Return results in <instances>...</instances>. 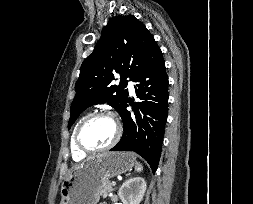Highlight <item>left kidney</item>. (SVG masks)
<instances>
[{"label": "left kidney", "instance_id": "obj_1", "mask_svg": "<svg viewBox=\"0 0 253 204\" xmlns=\"http://www.w3.org/2000/svg\"><path fill=\"white\" fill-rule=\"evenodd\" d=\"M146 187V181L142 177H133L122 184L118 195L123 204H140Z\"/></svg>", "mask_w": 253, "mask_h": 204}]
</instances>
